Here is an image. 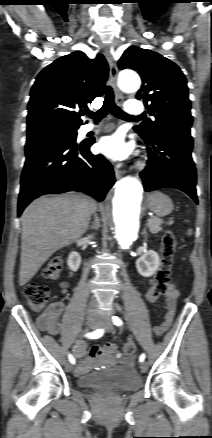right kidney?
<instances>
[{
    "label": "right kidney",
    "mask_w": 212,
    "mask_h": 438,
    "mask_svg": "<svg viewBox=\"0 0 212 438\" xmlns=\"http://www.w3.org/2000/svg\"><path fill=\"white\" fill-rule=\"evenodd\" d=\"M67 264L70 270L77 271L81 264V256L78 252L72 251L67 260Z\"/></svg>",
    "instance_id": "1"
}]
</instances>
